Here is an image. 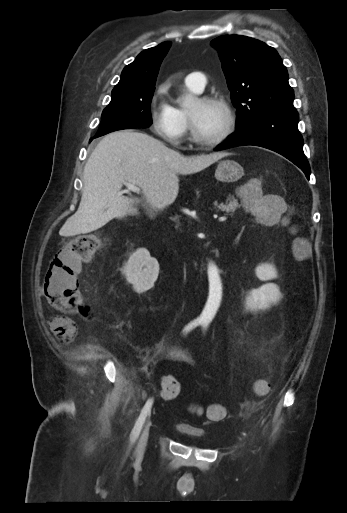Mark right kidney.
Masks as SVG:
<instances>
[{
	"mask_svg": "<svg viewBox=\"0 0 347 513\" xmlns=\"http://www.w3.org/2000/svg\"><path fill=\"white\" fill-rule=\"evenodd\" d=\"M122 273L137 293H143L154 286L159 274V264L146 249L140 248L129 257Z\"/></svg>",
	"mask_w": 347,
	"mask_h": 513,
	"instance_id": "right-kidney-1",
	"label": "right kidney"
}]
</instances>
